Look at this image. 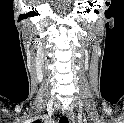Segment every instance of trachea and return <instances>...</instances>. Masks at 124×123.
<instances>
[{
	"label": "trachea",
	"mask_w": 124,
	"mask_h": 123,
	"mask_svg": "<svg viewBox=\"0 0 124 123\" xmlns=\"http://www.w3.org/2000/svg\"><path fill=\"white\" fill-rule=\"evenodd\" d=\"M59 123H69L68 118L66 116L61 117Z\"/></svg>",
	"instance_id": "obj_1"
}]
</instances>
